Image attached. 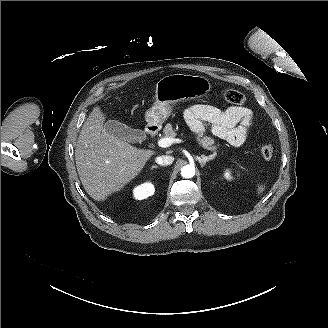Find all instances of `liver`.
<instances>
[{"instance_id": "obj_1", "label": "liver", "mask_w": 328, "mask_h": 328, "mask_svg": "<svg viewBox=\"0 0 328 328\" xmlns=\"http://www.w3.org/2000/svg\"><path fill=\"white\" fill-rule=\"evenodd\" d=\"M107 117L101 106L94 107L82 126L75 149L81 183L99 203L123 191L158 154L156 150L137 148L126 140L107 135L103 126Z\"/></svg>"}]
</instances>
